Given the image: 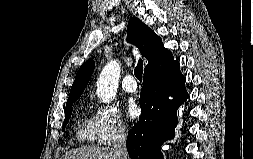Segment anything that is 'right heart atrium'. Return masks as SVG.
Segmentation results:
<instances>
[{"label": "right heart atrium", "instance_id": "right-heart-atrium-1", "mask_svg": "<svg viewBox=\"0 0 253 159\" xmlns=\"http://www.w3.org/2000/svg\"><path fill=\"white\" fill-rule=\"evenodd\" d=\"M98 133V141L103 145L110 144L127 132V123L116 106L99 104L93 116Z\"/></svg>", "mask_w": 253, "mask_h": 159}]
</instances>
